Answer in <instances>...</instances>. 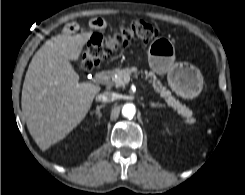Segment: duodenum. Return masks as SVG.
Listing matches in <instances>:
<instances>
[{"mask_svg": "<svg viewBox=\"0 0 245 195\" xmlns=\"http://www.w3.org/2000/svg\"><path fill=\"white\" fill-rule=\"evenodd\" d=\"M111 76H112V72L110 70H104L97 76V80L99 82H104L108 80Z\"/></svg>", "mask_w": 245, "mask_h": 195, "instance_id": "obj_1", "label": "duodenum"}]
</instances>
